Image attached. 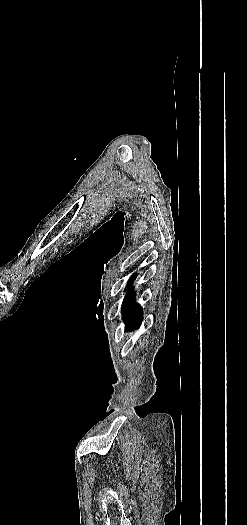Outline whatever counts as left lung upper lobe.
<instances>
[{
    "label": "left lung upper lobe",
    "mask_w": 247,
    "mask_h": 525,
    "mask_svg": "<svg viewBox=\"0 0 247 525\" xmlns=\"http://www.w3.org/2000/svg\"><path fill=\"white\" fill-rule=\"evenodd\" d=\"M135 278H136V275H133V276L130 278V280H129V282H128V284H127V286H126L125 289H129V288L132 286V284H133Z\"/></svg>",
    "instance_id": "obj_1"
}]
</instances>
